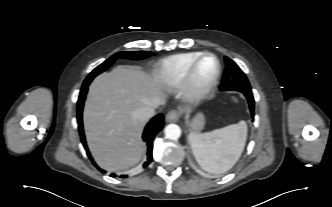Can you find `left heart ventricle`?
<instances>
[{"label": "left heart ventricle", "mask_w": 332, "mask_h": 207, "mask_svg": "<svg viewBox=\"0 0 332 207\" xmlns=\"http://www.w3.org/2000/svg\"><path fill=\"white\" fill-rule=\"evenodd\" d=\"M216 68L215 60L207 57L201 61L196 72V79L199 84H206L213 76Z\"/></svg>", "instance_id": "b2bd125f"}]
</instances>
